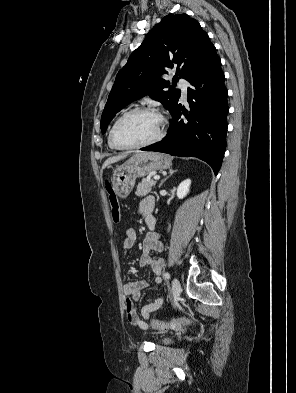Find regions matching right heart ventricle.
Masks as SVG:
<instances>
[{"mask_svg":"<svg viewBox=\"0 0 296 393\" xmlns=\"http://www.w3.org/2000/svg\"><path fill=\"white\" fill-rule=\"evenodd\" d=\"M110 131H111V129L109 130L108 137H107L108 146H109L112 150H117V148H115V147L113 146V144L111 143V140H110Z\"/></svg>","mask_w":296,"mask_h":393,"instance_id":"1","label":"right heart ventricle"}]
</instances>
